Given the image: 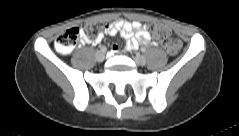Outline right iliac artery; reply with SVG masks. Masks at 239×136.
<instances>
[{
    "mask_svg": "<svg viewBox=\"0 0 239 136\" xmlns=\"http://www.w3.org/2000/svg\"><path fill=\"white\" fill-rule=\"evenodd\" d=\"M100 50L103 51V52H106L107 48H106L105 46H102V47L100 48Z\"/></svg>",
    "mask_w": 239,
    "mask_h": 136,
    "instance_id": "82829eb1",
    "label": "right iliac artery"
}]
</instances>
